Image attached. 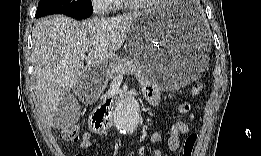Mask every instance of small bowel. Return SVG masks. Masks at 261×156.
<instances>
[{
    "mask_svg": "<svg viewBox=\"0 0 261 156\" xmlns=\"http://www.w3.org/2000/svg\"><path fill=\"white\" fill-rule=\"evenodd\" d=\"M143 91L149 101L153 106H161L160 95L158 90L150 85L143 87ZM178 112L181 114L190 112V105L188 103H182L178 106ZM195 125V116L190 113L189 122L178 121L174 123L169 131V137L167 140V146L171 152H176L180 147V135H186L190 132L191 127ZM160 140L158 135H153L151 138L152 145L156 144ZM93 140L89 133H84L82 139L79 143L78 150L80 152L88 150L92 146ZM152 154L154 156H160L161 151L157 148L152 149ZM77 156H82L78 154Z\"/></svg>",
    "mask_w": 261,
    "mask_h": 156,
    "instance_id": "obj_1",
    "label": "small bowel"
}]
</instances>
